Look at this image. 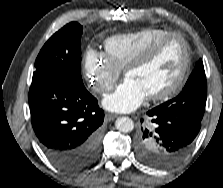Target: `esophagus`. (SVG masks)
Segmentation results:
<instances>
[{"mask_svg":"<svg viewBox=\"0 0 223 188\" xmlns=\"http://www.w3.org/2000/svg\"><path fill=\"white\" fill-rule=\"evenodd\" d=\"M117 117H118V115L113 114V113H106L105 114V120L106 121H112V120H114Z\"/></svg>","mask_w":223,"mask_h":188,"instance_id":"1","label":"esophagus"}]
</instances>
